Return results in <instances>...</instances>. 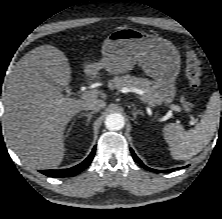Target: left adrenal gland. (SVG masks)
I'll return each instance as SVG.
<instances>
[{
	"instance_id": "a2214340",
	"label": "left adrenal gland",
	"mask_w": 222,
	"mask_h": 219,
	"mask_svg": "<svg viewBox=\"0 0 222 219\" xmlns=\"http://www.w3.org/2000/svg\"><path fill=\"white\" fill-rule=\"evenodd\" d=\"M132 106H133L132 115L134 119H136L137 115H143L142 111L138 110L134 104Z\"/></svg>"
}]
</instances>
